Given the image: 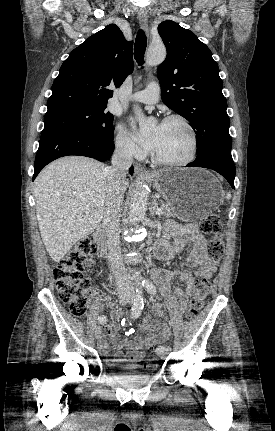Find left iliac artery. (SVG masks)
<instances>
[{
	"label": "left iliac artery",
	"instance_id": "1",
	"mask_svg": "<svg viewBox=\"0 0 275 431\" xmlns=\"http://www.w3.org/2000/svg\"><path fill=\"white\" fill-rule=\"evenodd\" d=\"M143 286H145V288H146L147 292H148L149 294H151L152 296H154V295L156 294V287H155V285H154L152 282H150L149 280H144V281H143ZM164 349H165V346L160 345V346H158V347L156 348V353H157L158 355H160V354L164 351Z\"/></svg>",
	"mask_w": 275,
	"mask_h": 431
}]
</instances>
